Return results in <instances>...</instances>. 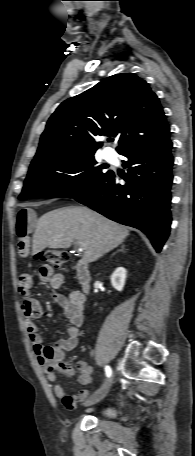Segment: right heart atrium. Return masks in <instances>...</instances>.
<instances>
[{
	"label": "right heart atrium",
	"mask_w": 195,
	"mask_h": 456,
	"mask_svg": "<svg viewBox=\"0 0 195 456\" xmlns=\"http://www.w3.org/2000/svg\"><path fill=\"white\" fill-rule=\"evenodd\" d=\"M76 175H77V173H75V172H71V173L69 174L70 177H73V176H76Z\"/></svg>",
	"instance_id": "d8ad5b80"
}]
</instances>
